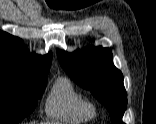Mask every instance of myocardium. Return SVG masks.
<instances>
[{
    "label": "myocardium",
    "instance_id": "1",
    "mask_svg": "<svg viewBox=\"0 0 156 124\" xmlns=\"http://www.w3.org/2000/svg\"><path fill=\"white\" fill-rule=\"evenodd\" d=\"M85 108H86L88 111H91V112H94V113L97 112V105H96V103H94L93 101L86 100V102H85Z\"/></svg>",
    "mask_w": 156,
    "mask_h": 124
}]
</instances>
